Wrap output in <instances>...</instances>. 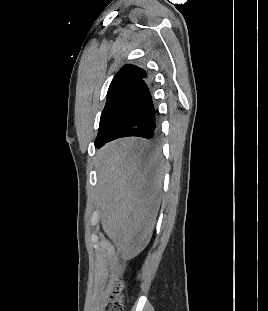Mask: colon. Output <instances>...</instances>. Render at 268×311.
<instances>
[{
    "label": "colon",
    "mask_w": 268,
    "mask_h": 311,
    "mask_svg": "<svg viewBox=\"0 0 268 311\" xmlns=\"http://www.w3.org/2000/svg\"><path fill=\"white\" fill-rule=\"evenodd\" d=\"M123 285L121 282H116L110 289L107 297V302L103 311H124L125 299L122 294Z\"/></svg>",
    "instance_id": "1"
}]
</instances>
